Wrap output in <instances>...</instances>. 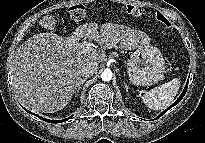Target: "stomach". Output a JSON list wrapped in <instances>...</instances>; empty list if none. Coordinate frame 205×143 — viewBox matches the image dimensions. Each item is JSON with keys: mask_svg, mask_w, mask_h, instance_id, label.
<instances>
[{"mask_svg": "<svg viewBox=\"0 0 205 143\" xmlns=\"http://www.w3.org/2000/svg\"><path fill=\"white\" fill-rule=\"evenodd\" d=\"M127 71L133 84L153 85L164 76V58L160 50L152 45L139 47L131 54L127 63Z\"/></svg>", "mask_w": 205, "mask_h": 143, "instance_id": "1", "label": "stomach"}]
</instances>
